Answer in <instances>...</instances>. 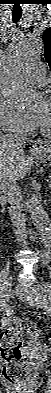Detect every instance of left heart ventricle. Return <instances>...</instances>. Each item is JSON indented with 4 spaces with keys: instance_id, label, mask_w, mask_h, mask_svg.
<instances>
[{
    "instance_id": "obj_1",
    "label": "left heart ventricle",
    "mask_w": 51,
    "mask_h": 393,
    "mask_svg": "<svg viewBox=\"0 0 51 393\" xmlns=\"http://www.w3.org/2000/svg\"><path fill=\"white\" fill-rule=\"evenodd\" d=\"M34 118L46 130H51V103L43 101L37 108Z\"/></svg>"
}]
</instances>
